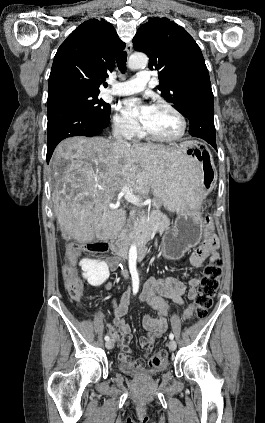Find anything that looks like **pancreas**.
I'll use <instances>...</instances> for the list:
<instances>
[{
	"label": "pancreas",
	"instance_id": "1",
	"mask_svg": "<svg viewBox=\"0 0 265 423\" xmlns=\"http://www.w3.org/2000/svg\"><path fill=\"white\" fill-rule=\"evenodd\" d=\"M154 210L148 215L143 214L137 222L131 226V230L142 242H147L154 231V226L158 225V231L162 233L169 228L170 221L168 217L160 211L161 202L156 200L153 203Z\"/></svg>",
	"mask_w": 265,
	"mask_h": 423
}]
</instances>
